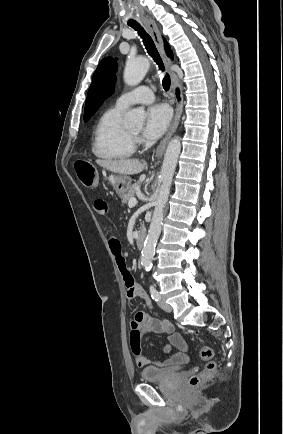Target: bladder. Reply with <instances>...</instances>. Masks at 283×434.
Here are the masks:
<instances>
[{"label":"bladder","instance_id":"obj_1","mask_svg":"<svg viewBox=\"0 0 283 434\" xmlns=\"http://www.w3.org/2000/svg\"><path fill=\"white\" fill-rule=\"evenodd\" d=\"M179 369L175 368H157L148 366L141 372V380L145 382L164 381L175 377Z\"/></svg>","mask_w":283,"mask_h":434}]
</instances>
